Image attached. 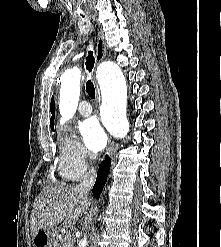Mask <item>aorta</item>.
I'll list each match as a JSON object with an SVG mask.
<instances>
[{"mask_svg": "<svg viewBox=\"0 0 221 247\" xmlns=\"http://www.w3.org/2000/svg\"><path fill=\"white\" fill-rule=\"evenodd\" d=\"M59 110L62 120L72 118L77 110L80 97L81 70H66L61 78ZM99 84L102 96V115L106 128L111 134L123 138L129 132L126 115L127 86L119 66L111 61L104 62L99 68ZM89 232L83 233L78 247H86Z\"/></svg>", "mask_w": 221, "mask_h": 247, "instance_id": "762f6f07", "label": "aorta"}]
</instances>
